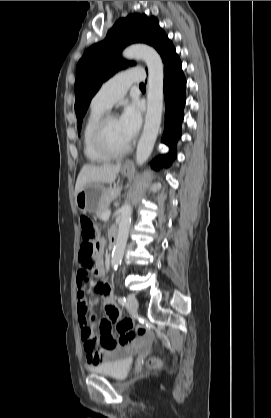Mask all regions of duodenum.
<instances>
[{
    "label": "duodenum",
    "instance_id": "410a0bca",
    "mask_svg": "<svg viewBox=\"0 0 271 418\" xmlns=\"http://www.w3.org/2000/svg\"><path fill=\"white\" fill-rule=\"evenodd\" d=\"M116 242H117V231L113 230L110 236V250H112L115 247Z\"/></svg>",
    "mask_w": 271,
    "mask_h": 418
}]
</instances>
